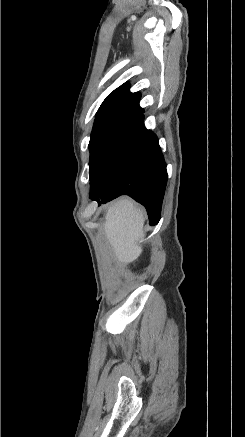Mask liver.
I'll return each instance as SVG.
<instances>
[{"label": "liver", "instance_id": "liver-1", "mask_svg": "<svg viewBox=\"0 0 245 437\" xmlns=\"http://www.w3.org/2000/svg\"><path fill=\"white\" fill-rule=\"evenodd\" d=\"M144 214L133 201L123 198L109 207L104 230L119 262L131 263L142 253L137 241L144 237Z\"/></svg>", "mask_w": 245, "mask_h": 437}]
</instances>
